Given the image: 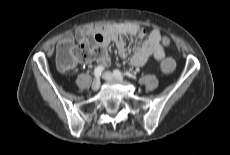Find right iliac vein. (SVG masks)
Segmentation results:
<instances>
[{
    "instance_id": "1",
    "label": "right iliac vein",
    "mask_w": 230,
    "mask_h": 155,
    "mask_svg": "<svg viewBox=\"0 0 230 155\" xmlns=\"http://www.w3.org/2000/svg\"><path fill=\"white\" fill-rule=\"evenodd\" d=\"M91 88L93 91H97L100 88V79L99 78H97L93 81Z\"/></svg>"
}]
</instances>
